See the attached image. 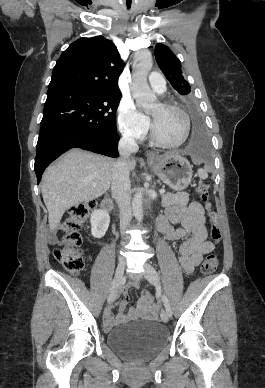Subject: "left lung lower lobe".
I'll use <instances>...</instances> for the list:
<instances>
[{
	"instance_id": "obj_1",
	"label": "left lung lower lobe",
	"mask_w": 265,
	"mask_h": 388,
	"mask_svg": "<svg viewBox=\"0 0 265 388\" xmlns=\"http://www.w3.org/2000/svg\"><path fill=\"white\" fill-rule=\"evenodd\" d=\"M188 151L196 157H209V141L201 118L196 111L192 112V133Z\"/></svg>"
}]
</instances>
